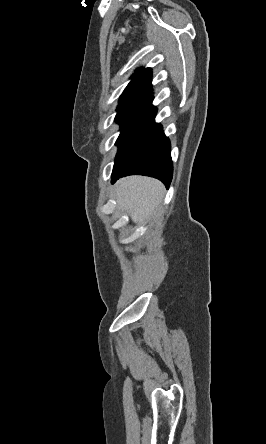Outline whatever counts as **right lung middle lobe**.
I'll use <instances>...</instances> for the list:
<instances>
[{
  "mask_svg": "<svg viewBox=\"0 0 266 444\" xmlns=\"http://www.w3.org/2000/svg\"><path fill=\"white\" fill-rule=\"evenodd\" d=\"M151 97H135L119 101L115 121L120 124L121 133L116 141L121 152L131 141L154 121L157 109Z\"/></svg>",
  "mask_w": 266,
  "mask_h": 444,
  "instance_id": "dd1d6c3e",
  "label": "right lung middle lobe"
}]
</instances>
